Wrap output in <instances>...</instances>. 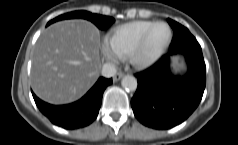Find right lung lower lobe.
Listing matches in <instances>:
<instances>
[{
	"label": "right lung lower lobe",
	"instance_id": "right-lung-lower-lobe-1",
	"mask_svg": "<svg viewBox=\"0 0 238 145\" xmlns=\"http://www.w3.org/2000/svg\"><path fill=\"white\" fill-rule=\"evenodd\" d=\"M112 79L100 77L95 85L78 101L67 105H51L32 92L39 110L55 125L64 129H78L92 123L102 102L103 92Z\"/></svg>",
	"mask_w": 238,
	"mask_h": 145
}]
</instances>
